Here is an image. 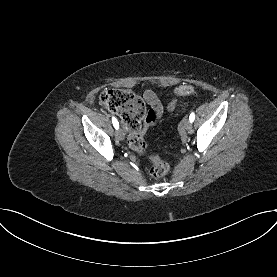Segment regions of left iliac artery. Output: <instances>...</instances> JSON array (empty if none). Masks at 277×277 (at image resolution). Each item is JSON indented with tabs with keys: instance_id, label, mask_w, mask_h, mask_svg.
Wrapping results in <instances>:
<instances>
[{
	"instance_id": "1",
	"label": "left iliac artery",
	"mask_w": 277,
	"mask_h": 277,
	"mask_svg": "<svg viewBox=\"0 0 277 277\" xmlns=\"http://www.w3.org/2000/svg\"><path fill=\"white\" fill-rule=\"evenodd\" d=\"M194 119H195V114L192 112V113L190 114V116H189V120H190L191 122H193Z\"/></svg>"
}]
</instances>
